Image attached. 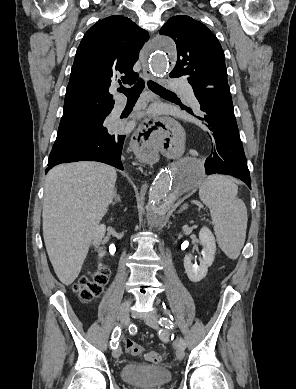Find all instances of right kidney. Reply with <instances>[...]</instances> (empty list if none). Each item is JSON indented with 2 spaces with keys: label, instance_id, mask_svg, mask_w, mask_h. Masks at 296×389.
Masks as SVG:
<instances>
[{
  "label": "right kidney",
  "instance_id": "right-kidney-1",
  "mask_svg": "<svg viewBox=\"0 0 296 389\" xmlns=\"http://www.w3.org/2000/svg\"><path fill=\"white\" fill-rule=\"evenodd\" d=\"M105 233H106V226L104 224H101V225L97 226V228L95 230V233H94V236H93V242H92V244L95 247H97L100 244V242L102 241L103 237L105 236ZM101 266L102 265L99 264V267H101Z\"/></svg>",
  "mask_w": 296,
  "mask_h": 389
}]
</instances>
